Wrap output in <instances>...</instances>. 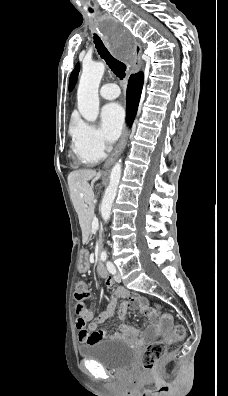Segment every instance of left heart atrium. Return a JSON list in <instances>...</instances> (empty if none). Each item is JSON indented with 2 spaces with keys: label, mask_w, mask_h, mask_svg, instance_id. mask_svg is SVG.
Segmentation results:
<instances>
[{
  "label": "left heart atrium",
  "mask_w": 228,
  "mask_h": 396,
  "mask_svg": "<svg viewBox=\"0 0 228 396\" xmlns=\"http://www.w3.org/2000/svg\"><path fill=\"white\" fill-rule=\"evenodd\" d=\"M124 119V109L119 103H110L102 109V128L109 141H115L120 136Z\"/></svg>",
  "instance_id": "39dd6f15"
}]
</instances>
